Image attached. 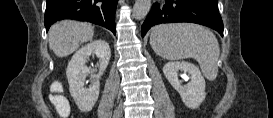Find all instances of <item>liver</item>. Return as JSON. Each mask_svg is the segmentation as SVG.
<instances>
[{
  "label": "liver",
  "mask_w": 273,
  "mask_h": 118,
  "mask_svg": "<svg viewBox=\"0 0 273 118\" xmlns=\"http://www.w3.org/2000/svg\"><path fill=\"white\" fill-rule=\"evenodd\" d=\"M94 27L89 23L64 20L51 26L49 47L57 57H66L92 40Z\"/></svg>",
  "instance_id": "liver-1"
}]
</instances>
